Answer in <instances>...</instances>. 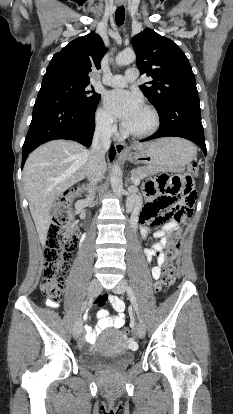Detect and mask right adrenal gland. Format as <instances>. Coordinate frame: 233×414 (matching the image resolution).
Returning <instances> with one entry per match:
<instances>
[{
	"label": "right adrenal gland",
	"mask_w": 233,
	"mask_h": 414,
	"mask_svg": "<svg viewBox=\"0 0 233 414\" xmlns=\"http://www.w3.org/2000/svg\"><path fill=\"white\" fill-rule=\"evenodd\" d=\"M82 187H83V189H84V190H86V191H89V189H90V187H89V185H88V184H83V185H82Z\"/></svg>",
	"instance_id": "right-adrenal-gland-1"
}]
</instances>
